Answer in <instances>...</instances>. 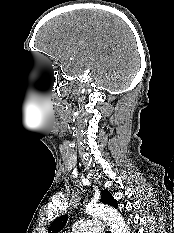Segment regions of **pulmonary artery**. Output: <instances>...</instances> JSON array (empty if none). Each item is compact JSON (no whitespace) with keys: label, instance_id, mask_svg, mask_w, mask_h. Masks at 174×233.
<instances>
[{"label":"pulmonary artery","instance_id":"1","mask_svg":"<svg viewBox=\"0 0 174 233\" xmlns=\"http://www.w3.org/2000/svg\"><path fill=\"white\" fill-rule=\"evenodd\" d=\"M74 231L77 233H103L104 224L98 219H85L75 224Z\"/></svg>","mask_w":174,"mask_h":233}]
</instances>
